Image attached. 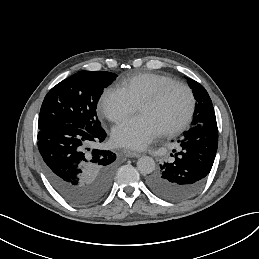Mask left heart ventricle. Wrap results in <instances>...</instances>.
Returning <instances> with one entry per match:
<instances>
[{"mask_svg": "<svg viewBox=\"0 0 259 259\" xmlns=\"http://www.w3.org/2000/svg\"><path fill=\"white\" fill-rule=\"evenodd\" d=\"M187 108V93L182 88L176 87L160 103L140 106L138 114L147 117L163 132L176 125L186 114Z\"/></svg>", "mask_w": 259, "mask_h": 259, "instance_id": "1", "label": "left heart ventricle"}]
</instances>
